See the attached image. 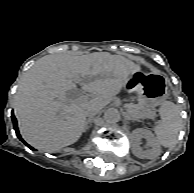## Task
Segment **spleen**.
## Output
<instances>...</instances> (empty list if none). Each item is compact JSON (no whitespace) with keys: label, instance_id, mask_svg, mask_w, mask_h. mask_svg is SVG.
Listing matches in <instances>:
<instances>
[{"label":"spleen","instance_id":"obj_1","mask_svg":"<svg viewBox=\"0 0 194 193\" xmlns=\"http://www.w3.org/2000/svg\"><path fill=\"white\" fill-rule=\"evenodd\" d=\"M159 114L161 121L154 128L157 140L164 147H172L176 144L182 127L180 108L171 101H165L160 107Z\"/></svg>","mask_w":194,"mask_h":193}]
</instances>
